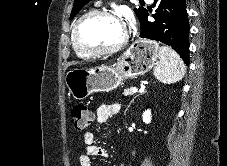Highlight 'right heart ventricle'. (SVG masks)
Returning <instances> with one entry per match:
<instances>
[{
	"label": "right heart ventricle",
	"mask_w": 227,
	"mask_h": 166,
	"mask_svg": "<svg viewBox=\"0 0 227 166\" xmlns=\"http://www.w3.org/2000/svg\"><path fill=\"white\" fill-rule=\"evenodd\" d=\"M71 41H72V34H71ZM72 47H73V50H74V52L76 53V55H78L79 57H81V58H88V57H89V56H87V55H84V54L80 53V52L74 47L73 43H72Z\"/></svg>",
	"instance_id": "obj_1"
}]
</instances>
